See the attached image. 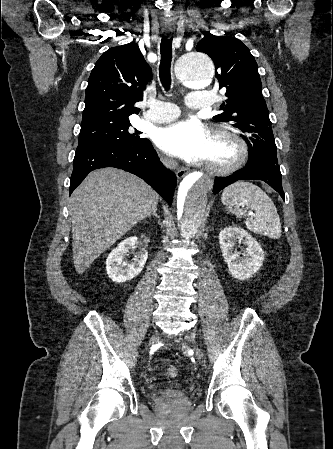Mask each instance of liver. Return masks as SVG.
I'll list each match as a JSON object with an SVG mask.
<instances>
[{
    "instance_id": "6515ba94",
    "label": "liver",
    "mask_w": 333,
    "mask_h": 449,
    "mask_svg": "<svg viewBox=\"0 0 333 449\" xmlns=\"http://www.w3.org/2000/svg\"><path fill=\"white\" fill-rule=\"evenodd\" d=\"M159 195L137 176L116 168L93 171L74 190L69 213L75 269L83 273L140 220L151 215Z\"/></svg>"
}]
</instances>
